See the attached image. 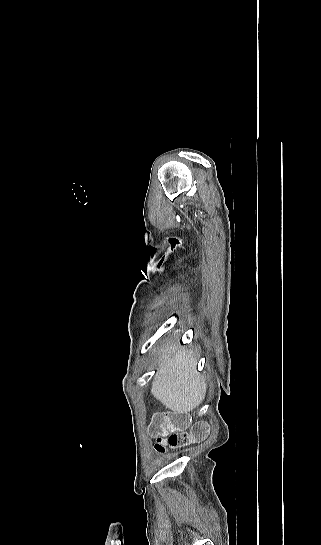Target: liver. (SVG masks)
Wrapping results in <instances>:
<instances>
[{
	"instance_id": "obj_1",
	"label": "liver",
	"mask_w": 321,
	"mask_h": 545,
	"mask_svg": "<svg viewBox=\"0 0 321 545\" xmlns=\"http://www.w3.org/2000/svg\"><path fill=\"white\" fill-rule=\"evenodd\" d=\"M159 369L151 393L174 413H189L205 399L207 385L196 371L197 359L185 347L167 345L161 349Z\"/></svg>"
}]
</instances>
